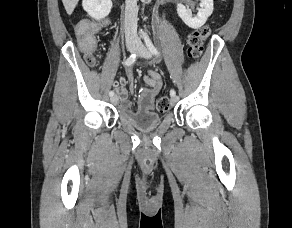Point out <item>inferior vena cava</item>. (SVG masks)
I'll return each mask as SVG.
<instances>
[{
  "label": "inferior vena cava",
  "instance_id": "inferior-vena-cava-1",
  "mask_svg": "<svg viewBox=\"0 0 292 228\" xmlns=\"http://www.w3.org/2000/svg\"><path fill=\"white\" fill-rule=\"evenodd\" d=\"M125 38L127 41L138 42L137 36V0L125 1Z\"/></svg>",
  "mask_w": 292,
  "mask_h": 228
}]
</instances>
